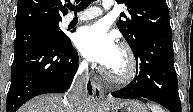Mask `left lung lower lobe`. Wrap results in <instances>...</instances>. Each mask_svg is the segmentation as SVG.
I'll return each mask as SVG.
<instances>
[{
    "mask_svg": "<svg viewBox=\"0 0 193 112\" xmlns=\"http://www.w3.org/2000/svg\"><path fill=\"white\" fill-rule=\"evenodd\" d=\"M132 51L137 64L136 76L129 85L111 95L124 99L146 98L171 112H181L171 30L149 36Z\"/></svg>",
    "mask_w": 193,
    "mask_h": 112,
    "instance_id": "obj_1",
    "label": "left lung lower lobe"
}]
</instances>
